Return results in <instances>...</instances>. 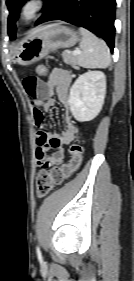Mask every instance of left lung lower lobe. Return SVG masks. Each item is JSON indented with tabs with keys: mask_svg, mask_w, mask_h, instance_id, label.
Wrapping results in <instances>:
<instances>
[{
	"mask_svg": "<svg viewBox=\"0 0 134 281\" xmlns=\"http://www.w3.org/2000/svg\"><path fill=\"white\" fill-rule=\"evenodd\" d=\"M115 0H49L35 23L63 20L101 36L114 49Z\"/></svg>",
	"mask_w": 134,
	"mask_h": 281,
	"instance_id": "1",
	"label": "left lung lower lobe"
}]
</instances>
